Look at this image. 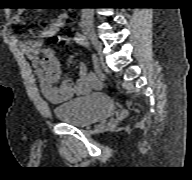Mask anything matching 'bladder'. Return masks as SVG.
I'll list each match as a JSON object with an SVG mask.
<instances>
[{
  "label": "bladder",
  "instance_id": "bladder-1",
  "mask_svg": "<svg viewBox=\"0 0 192 180\" xmlns=\"http://www.w3.org/2000/svg\"><path fill=\"white\" fill-rule=\"evenodd\" d=\"M114 102L103 93L70 100L53 108L55 116L62 122L74 126H86L112 116Z\"/></svg>",
  "mask_w": 192,
  "mask_h": 180
}]
</instances>
